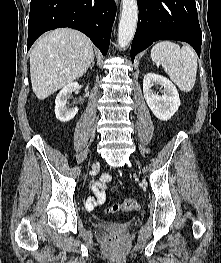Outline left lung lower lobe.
<instances>
[{
    "mask_svg": "<svg viewBox=\"0 0 221 263\" xmlns=\"http://www.w3.org/2000/svg\"><path fill=\"white\" fill-rule=\"evenodd\" d=\"M139 17L131 46V60L158 40L189 43L200 57L202 32L195 0H137Z\"/></svg>",
    "mask_w": 221,
    "mask_h": 263,
    "instance_id": "0a47b994",
    "label": "left lung lower lobe"
}]
</instances>
